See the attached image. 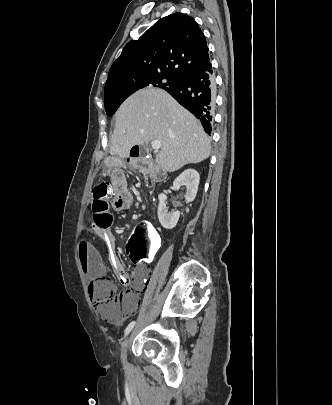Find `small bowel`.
<instances>
[{"mask_svg":"<svg viewBox=\"0 0 332 405\" xmlns=\"http://www.w3.org/2000/svg\"><path fill=\"white\" fill-rule=\"evenodd\" d=\"M108 177H111L114 197L110 198V205L115 215H126L127 210L133 202L131 192L127 187L125 177V168H108ZM98 234L108 245L110 251L116 249L115 236L110 231L98 230ZM78 255L82 270L86 276L94 281L100 277L105 271V265L100 252L90 242L80 241L78 245ZM115 269L120 281L130 286L131 291L139 292L146 290L147 287V270L145 267H135L131 274H128L123 265L118 259L115 260ZM138 307V299L136 295H132L130 301L127 303L126 312L124 315L113 318L117 323H121L123 316L132 315Z\"/></svg>","mask_w":332,"mask_h":405,"instance_id":"obj_1","label":"small bowel"}]
</instances>
